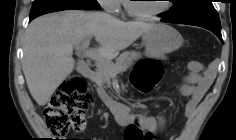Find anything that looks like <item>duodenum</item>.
I'll return each mask as SVG.
<instances>
[{"label":"duodenum","mask_w":236,"mask_h":140,"mask_svg":"<svg viewBox=\"0 0 236 140\" xmlns=\"http://www.w3.org/2000/svg\"><path fill=\"white\" fill-rule=\"evenodd\" d=\"M78 69L81 73L85 74L88 77L92 75L91 69L89 65L87 64L85 58H81L79 60ZM102 99L105 105L108 106L112 110L115 118L118 121L120 122L126 121L131 116L130 111L124 105L113 101L112 99H110L109 97L105 95L102 96Z\"/></svg>","instance_id":"1"}]
</instances>
